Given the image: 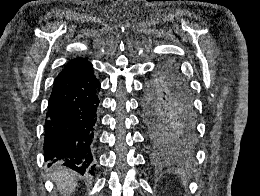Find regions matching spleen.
<instances>
[{
  "label": "spleen",
  "mask_w": 260,
  "mask_h": 196,
  "mask_svg": "<svg viewBox=\"0 0 260 196\" xmlns=\"http://www.w3.org/2000/svg\"><path fill=\"white\" fill-rule=\"evenodd\" d=\"M176 174H178L179 178H182V180H186L185 170H182V168L176 170Z\"/></svg>",
  "instance_id": "1"
}]
</instances>
